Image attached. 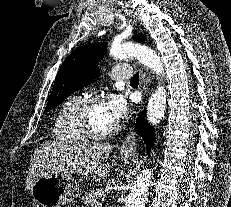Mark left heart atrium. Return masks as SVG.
I'll return each instance as SVG.
<instances>
[{
	"mask_svg": "<svg viewBox=\"0 0 231 207\" xmlns=\"http://www.w3.org/2000/svg\"><path fill=\"white\" fill-rule=\"evenodd\" d=\"M106 111L110 117L117 123L127 113L128 104L123 96L119 94H111L104 102Z\"/></svg>",
	"mask_w": 231,
	"mask_h": 207,
	"instance_id": "1",
	"label": "left heart atrium"
}]
</instances>
